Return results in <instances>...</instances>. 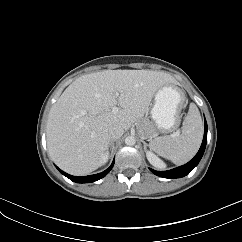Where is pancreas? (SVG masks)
Masks as SVG:
<instances>
[{
  "label": "pancreas",
  "mask_w": 242,
  "mask_h": 242,
  "mask_svg": "<svg viewBox=\"0 0 242 242\" xmlns=\"http://www.w3.org/2000/svg\"><path fill=\"white\" fill-rule=\"evenodd\" d=\"M138 130L143 137H149L154 134V125L149 120H143L138 124Z\"/></svg>",
  "instance_id": "pancreas-1"
}]
</instances>
